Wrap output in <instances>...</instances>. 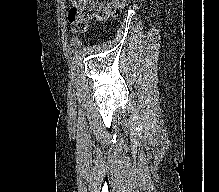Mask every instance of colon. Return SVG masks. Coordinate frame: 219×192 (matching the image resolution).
<instances>
[{"label":"colon","mask_w":219,"mask_h":192,"mask_svg":"<svg viewBox=\"0 0 219 192\" xmlns=\"http://www.w3.org/2000/svg\"><path fill=\"white\" fill-rule=\"evenodd\" d=\"M131 0H72L68 21L75 32H84L94 19L116 16Z\"/></svg>","instance_id":"1"}]
</instances>
